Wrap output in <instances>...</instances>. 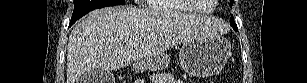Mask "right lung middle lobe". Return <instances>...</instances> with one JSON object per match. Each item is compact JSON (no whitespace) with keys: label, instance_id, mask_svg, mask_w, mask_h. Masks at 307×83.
<instances>
[{"label":"right lung middle lobe","instance_id":"dd1d6c3e","mask_svg":"<svg viewBox=\"0 0 307 83\" xmlns=\"http://www.w3.org/2000/svg\"><path fill=\"white\" fill-rule=\"evenodd\" d=\"M124 4L125 0H74V12L72 14L70 26L77 19L94 9Z\"/></svg>","mask_w":307,"mask_h":83}]
</instances>
